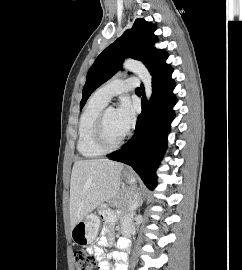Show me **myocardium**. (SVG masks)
Here are the masks:
<instances>
[{"instance_id":"obj_1","label":"myocardium","mask_w":242,"mask_h":270,"mask_svg":"<svg viewBox=\"0 0 242 270\" xmlns=\"http://www.w3.org/2000/svg\"><path fill=\"white\" fill-rule=\"evenodd\" d=\"M110 108H104L99 114L93 134L95 145L103 152H111L118 149L126 140L128 133L126 132L116 143L110 144L106 136V118Z\"/></svg>"}]
</instances>
